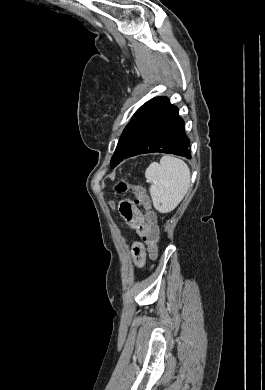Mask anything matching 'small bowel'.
Here are the masks:
<instances>
[{
	"label": "small bowel",
	"instance_id": "small-bowel-1",
	"mask_svg": "<svg viewBox=\"0 0 265 390\" xmlns=\"http://www.w3.org/2000/svg\"><path fill=\"white\" fill-rule=\"evenodd\" d=\"M119 212L130 227L136 230L142 240L147 242L151 233V226L146 222L142 212L130 201L122 200L119 204ZM145 247L141 242L133 244V258L137 266L145 263Z\"/></svg>",
	"mask_w": 265,
	"mask_h": 390
}]
</instances>
